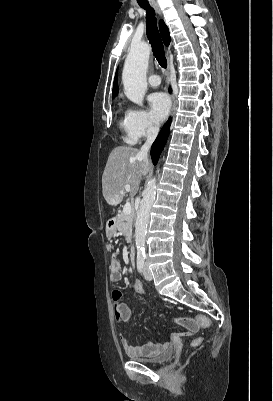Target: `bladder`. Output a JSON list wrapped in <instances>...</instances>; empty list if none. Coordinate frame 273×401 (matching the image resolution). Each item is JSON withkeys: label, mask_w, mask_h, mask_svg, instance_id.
<instances>
[{"label": "bladder", "mask_w": 273, "mask_h": 401, "mask_svg": "<svg viewBox=\"0 0 273 401\" xmlns=\"http://www.w3.org/2000/svg\"><path fill=\"white\" fill-rule=\"evenodd\" d=\"M173 354H174L173 349L168 348L154 358H142V357L130 355V359L133 361L144 363V364L163 365V364L167 363L173 357Z\"/></svg>", "instance_id": "31cf9c89"}]
</instances>
